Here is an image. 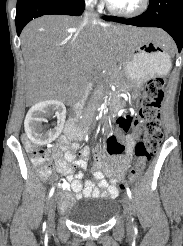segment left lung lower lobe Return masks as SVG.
Masks as SVG:
<instances>
[{"instance_id":"left-lung-lower-lobe-1","label":"left lung lower lobe","mask_w":183,"mask_h":246,"mask_svg":"<svg viewBox=\"0 0 183 246\" xmlns=\"http://www.w3.org/2000/svg\"><path fill=\"white\" fill-rule=\"evenodd\" d=\"M107 21L138 27H158L175 40L179 52L183 47V0H150L148 9L140 16L124 19L104 16Z\"/></svg>"}]
</instances>
